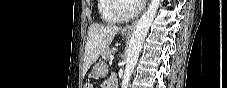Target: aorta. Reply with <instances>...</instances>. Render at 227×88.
Listing matches in <instances>:
<instances>
[{"label":"aorta","mask_w":227,"mask_h":88,"mask_svg":"<svg viewBox=\"0 0 227 88\" xmlns=\"http://www.w3.org/2000/svg\"><path fill=\"white\" fill-rule=\"evenodd\" d=\"M160 1L161 0H151L147 10L141 16L134 28L125 59L126 66L121 84L122 88H127L129 85L130 77L138 61L143 42L159 8Z\"/></svg>","instance_id":"aorta-1"}]
</instances>
